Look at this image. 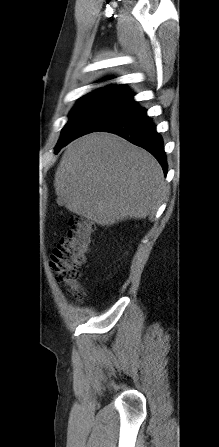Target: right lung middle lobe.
Segmentation results:
<instances>
[{"label": "right lung middle lobe", "instance_id": "obj_1", "mask_svg": "<svg viewBox=\"0 0 219 447\" xmlns=\"http://www.w3.org/2000/svg\"><path fill=\"white\" fill-rule=\"evenodd\" d=\"M138 107L132 96L116 90L100 88L88 93L69 115L55 149L59 151L73 139L97 131L106 123Z\"/></svg>", "mask_w": 219, "mask_h": 447}]
</instances>
